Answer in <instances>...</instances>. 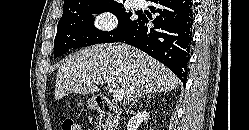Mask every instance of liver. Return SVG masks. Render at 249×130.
Returning a JSON list of instances; mask_svg holds the SVG:
<instances>
[{
  "label": "liver",
  "instance_id": "1",
  "mask_svg": "<svg viewBox=\"0 0 249 130\" xmlns=\"http://www.w3.org/2000/svg\"><path fill=\"white\" fill-rule=\"evenodd\" d=\"M108 79L121 86L124 105L147 93L177 88V76L166 66L127 44L95 45L65 58L58 69L55 99L69 93L99 91L94 80Z\"/></svg>",
  "mask_w": 249,
  "mask_h": 130
}]
</instances>
